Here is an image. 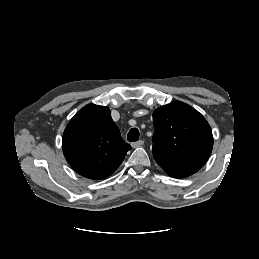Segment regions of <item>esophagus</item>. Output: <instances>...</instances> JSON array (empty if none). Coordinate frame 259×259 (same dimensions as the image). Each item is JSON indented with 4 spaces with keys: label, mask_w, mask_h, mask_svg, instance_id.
Segmentation results:
<instances>
[{
    "label": "esophagus",
    "mask_w": 259,
    "mask_h": 259,
    "mask_svg": "<svg viewBox=\"0 0 259 259\" xmlns=\"http://www.w3.org/2000/svg\"><path fill=\"white\" fill-rule=\"evenodd\" d=\"M143 144H144V141L143 140H139L137 142L132 143V147L133 148H137V147L142 146Z\"/></svg>",
    "instance_id": "obj_1"
}]
</instances>
